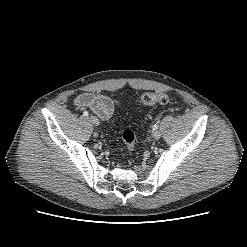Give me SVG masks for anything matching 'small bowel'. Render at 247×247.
<instances>
[{"label":"small bowel","instance_id":"small-bowel-1","mask_svg":"<svg viewBox=\"0 0 247 247\" xmlns=\"http://www.w3.org/2000/svg\"><path fill=\"white\" fill-rule=\"evenodd\" d=\"M75 105L80 109L89 108L100 119L107 120L118 106V102L103 94L83 93L75 99Z\"/></svg>","mask_w":247,"mask_h":247}]
</instances>
